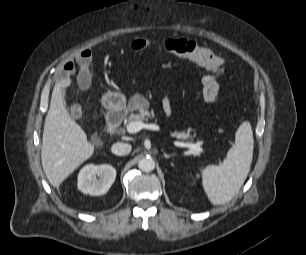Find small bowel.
I'll return each mask as SVG.
<instances>
[{
    "label": "small bowel",
    "instance_id": "c3829d8e",
    "mask_svg": "<svg viewBox=\"0 0 306 255\" xmlns=\"http://www.w3.org/2000/svg\"><path fill=\"white\" fill-rule=\"evenodd\" d=\"M92 55L91 52L88 50L82 51L78 56V61L81 65H88L91 62ZM75 67L73 61H69L65 65V72L60 76V80H65L71 76V74L74 72ZM163 108L165 113L168 116H172L173 110H172V104L168 97H165L163 100Z\"/></svg>",
    "mask_w": 306,
    "mask_h": 255
}]
</instances>
